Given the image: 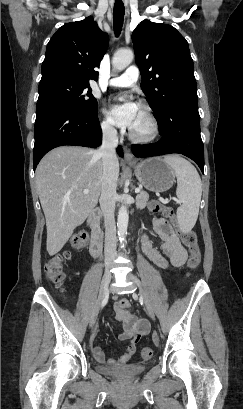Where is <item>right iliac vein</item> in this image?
Instances as JSON below:
<instances>
[{
    "label": "right iliac vein",
    "instance_id": "right-iliac-vein-1",
    "mask_svg": "<svg viewBox=\"0 0 243 409\" xmlns=\"http://www.w3.org/2000/svg\"><path fill=\"white\" fill-rule=\"evenodd\" d=\"M110 281H111V272L109 270H106L105 273H104V276L102 278V282H101L97 302H96V304H95V306H94V308L92 310V314H91V317H90V322H89L90 328H92L94 326V324H95V322L97 320V316H98V313H99L101 302H102V299L105 296V293H106V291L108 289V285H109Z\"/></svg>",
    "mask_w": 243,
    "mask_h": 409
}]
</instances>
